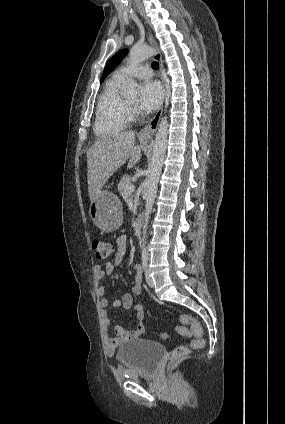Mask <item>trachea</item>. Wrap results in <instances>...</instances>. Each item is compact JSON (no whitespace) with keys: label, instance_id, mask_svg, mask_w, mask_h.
<instances>
[{"label":"trachea","instance_id":"1","mask_svg":"<svg viewBox=\"0 0 285 424\" xmlns=\"http://www.w3.org/2000/svg\"><path fill=\"white\" fill-rule=\"evenodd\" d=\"M151 66H152L155 70H158V69H159V64H158V62H156V61L152 62Z\"/></svg>","mask_w":285,"mask_h":424}]
</instances>
